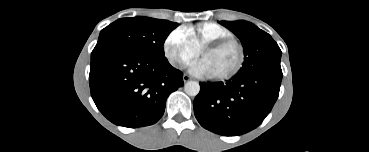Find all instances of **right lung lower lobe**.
Segmentation results:
<instances>
[{"instance_id": "1", "label": "right lung lower lobe", "mask_w": 369, "mask_h": 152, "mask_svg": "<svg viewBox=\"0 0 369 152\" xmlns=\"http://www.w3.org/2000/svg\"><path fill=\"white\" fill-rule=\"evenodd\" d=\"M91 96L112 123L137 128L156 123L166 99L183 86V73L168 60L131 52H112L91 59Z\"/></svg>"}]
</instances>
